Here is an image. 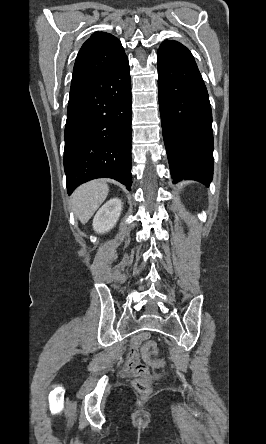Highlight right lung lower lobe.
<instances>
[{"mask_svg":"<svg viewBox=\"0 0 266 444\" xmlns=\"http://www.w3.org/2000/svg\"><path fill=\"white\" fill-rule=\"evenodd\" d=\"M125 55L85 89L70 95L65 125L67 192L96 178L132 185L131 80Z\"/></svg>","mask_w":266,"mask_h":444,"instance_id":"98d812e1","label":"right lung lower lobe"}]
</instances>
